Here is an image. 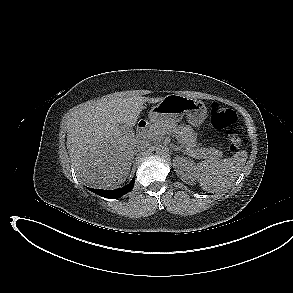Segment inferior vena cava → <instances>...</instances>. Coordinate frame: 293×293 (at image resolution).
I'll return each mask as SVG.
<instances>
[{"mask_svg":"<svg viewBox=\"0 0 293 293\" xmlns=\"http://www.w3.org/2000/svg\"><path fill=\"white\" fill-rule=\"evenodd\" d=\"M148 147V142L147 141H144V140H137L135 142V145H134V151L135 152H140V151H144L146 150V148Z\"/></svg>","mask_w":293,"mask_h":293,"instance_id":"602c4592","label":"inferior vena cava"}]
</instances>
